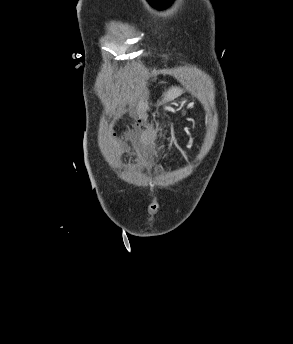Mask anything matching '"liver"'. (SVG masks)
<instances>
[{
  "instance_id": "liver-1",
  "label": "liver",
  "mask_w": 293,
  "mask_h": 344,
  "mask_svg": "<svg viewBox=\"0 0 293 344\" xmlns=\"http://www.w3.org/2000/svg\"><path fill=\"white\" fill-rule=\"evenodd\" d=\"M183 93V90L178 87H172L167 91V93L164 95L163 101H171L175 98L179 97Z\"/></svg>"
}]
</instances>
